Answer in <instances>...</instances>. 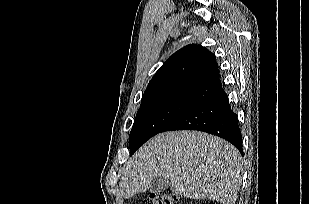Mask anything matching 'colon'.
<instances>
[{
    "label": "colon",
    "instance_id": "colon-1",
    "mask_svg": "<svg viewBox=\"0 0 309 204\" xmlns=\"http://www.w3.org/2000/svg\"><path fill=\"white\" fill-rule=\"evenodd\" d=\"M177 198L171 193H152L143 204H176Z\"/></svg>",
    "mask_w": 309,
    "mask_h": 204
}]
</instances>
